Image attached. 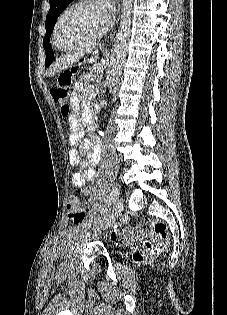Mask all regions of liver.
<instances>
[{
    "label": "liver",
    "mask_w": 227,
    "mask_h": 315,
    "mask_svg": "<svg viewBox=\"0 0 227 315\" xmlns=\"http://www.w3.org/2000/svg\"><path fill=\"white\" fill-rule=\"evenodd\" d=\"M82 56V53H72L60 57L56 62L51 66L50 71L48 72V77L53 76L55 73L68 69L73 63H75L79 57Z\"/></svg>",
    "instance_id": "obj_1"
}]
</instances>
